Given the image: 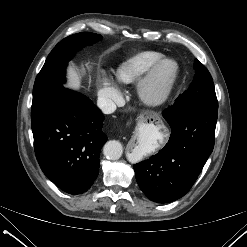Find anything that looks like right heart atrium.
Listing matches in <instances>:
<instances>
[{
    "instance_id": "d8ad5b80",
    "label": "right heart atrium",
    "mask_w": 247,
    "mask_h": 247,
    "mask_svg": "<svg viewBox=\"0 0 247 247\" xmlns=\"http://www.w3.org/2000/svg\"><path fill=\"white\" fill-rule=\"evenodd\" d=\"M99 97L106 106H111L121 100L122 94L118 85L109 76L102 73L99 77Z\"/></svg>"
}]
</instances>
